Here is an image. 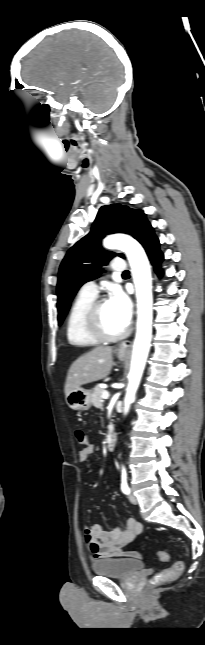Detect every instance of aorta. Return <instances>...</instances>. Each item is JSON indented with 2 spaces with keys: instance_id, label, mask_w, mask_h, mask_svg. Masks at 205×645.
<instances>
[{
  "instance_id": "obj_1",
  "label": "aorta",
  "mask_w": 205,
  "mask_h": 645,
  "mask_svg": "<svg viewBox=\"0 0 205 645\" xmlns=\"http://www.w3.org/2000/svg\"><path fill=\"white\" fill-rule=\"evenodd\" d=\"M107 249L125 252L131 266L137 298V331L133 345L129 383L124 399V413L129 411L145 368L152 337V277L148 258L141 245L125 235H112L105 238Z\"/></svg>"
}]
</instances>
